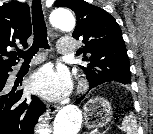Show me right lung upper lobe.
<instances>
[{
    "instance_id": "1",
    "label": "right lung upper lobe",
    "mask_w": 153,
    "mask_h": 134,
    "mask_svg": "<svg viewBox=\"0 0 153 134\" xmlns=\"http://www.w3.org/2000/svg\"><path fill=\"white\" fill-rule=\"evenodd\" d=\"M31 32L30 11L26 3L11 1L0 7V71L16 64L17 57L7 49L19 43L27 47Z\"/></svg>"
}]
</instances>
